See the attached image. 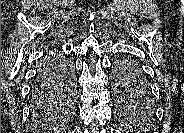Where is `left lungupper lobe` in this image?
Listing matches in <instances>:
<instances>
[{
    "label": "left lung upper lobe",
    "instance_id": "left-lung-upper-lobe-1",
    "mask_svg": "<svg viewBox=\"0 0 184 133\" xmlns=\"http://www.w3.org/2000/svg\"><path fill=\"white\" fill-rule=\"evenodd\" d=\"M114 78L118 89L117 100L125 117L150 119L154 114V105L140 68L130 60H121L117 63Z\"/></svg>",
    "mask_w": 184,
    "mask_h": 133
}]
</instances>
